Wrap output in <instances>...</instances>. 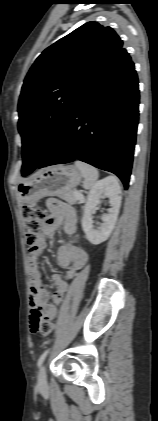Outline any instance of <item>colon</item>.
I'll return each mask as SVG.
<instances>
[{"mask_svg":"<svg viewBox=\"0 0 158 421\" xmlns=\"http://www.w3.org/2000/svg\"><path fill=\"white\" fill-rule=\"evenodd\" d=\"M22 217L26 229V241L30 251L38 248L42 237L41 233L45 225L46 213L40 207L24 206L22 209ZM53 329L50 321H42L36 328L35 332L41 335L49 334Z\"/></svg>","mask_w":158,"mask_h":421,"instance_id":"1","label":"colon"}]
</instances>
